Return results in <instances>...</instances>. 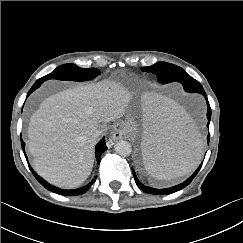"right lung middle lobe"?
<instances>
[{"mask_svg": "<svg viewBox=\"0 0 243 243\" xmlns=\"http://www.w3.org/2000/svg\"><path fill=\"white\" fill-rule=\"evenodd\" d=\"M99 74V70L95 68H80L72 63H69L57 67L53 72L38 79L36 82L43 83L49 79L73 80L81 82L85 80H92Z\"/></svg>", "mask_w": 243, "mask_h": 243, "instance_id": "dd1d6c3e", "label": "right lung middle lobe"}]
</instances>
